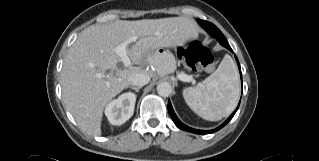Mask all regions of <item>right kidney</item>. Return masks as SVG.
I'll list each match as a JSON object with an SVG mask.
<instances>
[{
  "label": "right kidney",
  "instance_id": "obj_1",
  "mask_svg": "<svg viewBox=\"0 0 319 161\" xmlns=\"http://www.w3.org/2000/svg\"><path fill=\"white\" fill-rule=\"evenodd\" d=\"M136 95L131 92L121 94L105 108V115L112 125H122L133 115Z\"/></svg>",
  "mask_w": 319,
  "mask_h": 161
}]
</instances>
